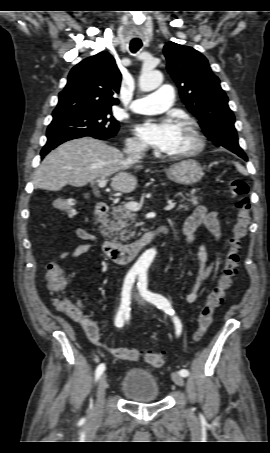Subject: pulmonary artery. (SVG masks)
<instances>
[{
    "mask_svg": "<svg viewBox=\"0 0 270 453\" xmlns=\"http://www.w3.org/2000/svg\"><path fill=\"white\" fill-rule=\"evenodd\" d=\"M174 101V90L171 86L160 87L156 92L135 99L130 108L135 113L159 114L165 112Z\"/></svg>",
    "mask_w": 270,
    "mask_h": 453,
    "instance_id": "e3ab8cb5",
    "label": "pulmonary artery"
}]
</instances>
